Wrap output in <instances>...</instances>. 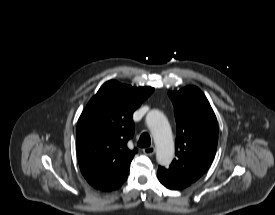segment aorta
<instances>
[{"label":"aorta","mask_w":275,"mask_h":215,"mask_svg":"<svg viewBox=\"0 0 275 215\" xmlns=\"http://www.w3.org/2000/svg\"><path fill=\"white\" fill-rule=\"evenodd\" d=\"M146 124L154 138L158 164L169 166L174 157V142L167 118L159 110H151L146 116Z\"/></svg>","instance_id":"1"}]
</instances>
